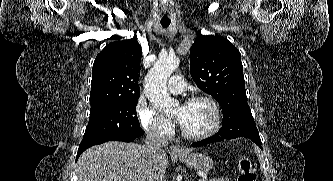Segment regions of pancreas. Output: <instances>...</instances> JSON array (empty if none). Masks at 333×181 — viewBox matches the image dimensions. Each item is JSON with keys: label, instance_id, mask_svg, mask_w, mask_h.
Wrapping results in <instances>:
<instances>
[{"label": "pancreas", "instance_id": "obj_1", "mask_svg": "<svg viewBox=\"0 0 333 181\" xmlns=\"http://www.w3.org/2000/svg\"><path fill=\"white\" fill-rule=\"evenodd\" d=\"M209 181H229L228 178H212Z\"/></svg>", "mask_w": 333, "mask_h": 181}]
</instances>
